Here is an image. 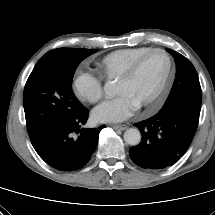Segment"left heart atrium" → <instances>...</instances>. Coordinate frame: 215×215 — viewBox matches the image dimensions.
Returning a JSON list of instances; mask_svg holds the SVG:
<instances>
[{
    "label": "left heart atrium",
    "mask_w": 215,
    "mask_h": 215,
    "mask_svg": "<svg viewBox=\"0 0 215 215\" xmlns=\"http://www.w3.org/2000/svg\"><path fill=\"white\" fill-rule=\"evenodd\" d=\"M137 108V103L123 93L97 106L92 116L99 123H118L132 116Z\"/></svg>",
    "instance_id": "39dd6f15"
}]
</instances>
